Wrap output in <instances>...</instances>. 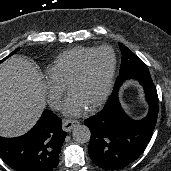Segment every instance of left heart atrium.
Instances as JSON below:
<instances>
[{
  "label": "left heart atrium",
  "instance_id": "left-heart-atrium-1",
  "mask_svg": "<svg viewBox=\"0 0 171 171\" xmlns=\"http://www.w3.org/2000/svg\"><path fill=\"white\" fill-rule=\"evenodd\" d=\"M88 106L76 94L70 93L63 105V113L67 116L77 117L82 115Z\"/></svg>",
  "mask_w": 171,
  "mask_h": 171
}]
</instances>
